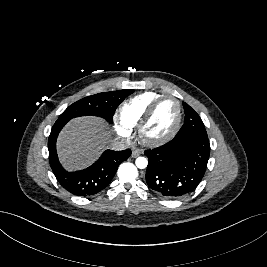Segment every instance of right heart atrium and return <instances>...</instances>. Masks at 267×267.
Masks as SVG:
<instances>
[{"instance_id": "right-heart-atrium-1", "label": "right heart atrium", "mask_w": 267, "mask_h": 267, "mask_svg": "<svg viewBox=\"0 0 267 267\" xmlns=\"http://www.w3.org/2000/svg\"><path fill=\"white\" fill-rule=\"evenodd\" d=\"M115 125H116L117 132L119 133L120 136H122L124 138L129 137L131 130L128 126H126L122 122V120L119 117L116 118Z\"/></svg>"}]
</instances>
